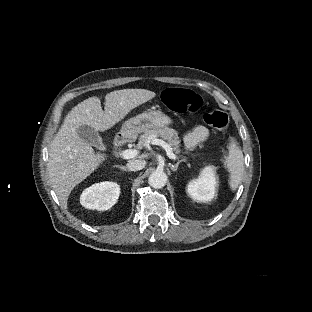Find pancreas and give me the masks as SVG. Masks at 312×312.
I'll use <instances>...</instances> for the list:
<instances>
[{
    "mask_svg": "<svg viewBox=\"0 0 312 312\" xmlns=\"http://www.w3.org/2000/svg\"><path fill=\"white\" fill-rule=\"evenodd\" d=\"M156 137L163 138L168 146L173 149L176 155L181 156L182 153L188 154V152H185L183 148H181V138L179 137V133L175 129H164V130H158V129H151L146 131L142 134V138L139 141V147L144 148L147 147L152 140H154ZM184 160L186 159L183 157Z\"/></svg>",
    "mask_w": 312,
    "mask_h": 312,
    "instance_id": "1",
    "label": "pancreas"
}]
</instances>
